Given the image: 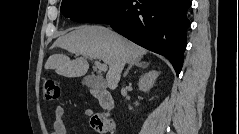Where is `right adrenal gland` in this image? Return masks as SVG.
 <instances>
[{"instance_id":"1","label":"right adrenal gland","mask_w":239,"mask_h":134,"mask_svg":"<svg viewBox=\"0 0 239 134\" xmlns=\"http://www.w3.org/2000/svg\"><path fill=\"white\" fill-rule=\"evenodd\" d=\"M139 66V67H146L147 66V64H145L144 62H140V61H137V62H135V63H130L129 64V66H128V68H127V70H126V72L124 73V75H123V77H125V76H127V74H128V72H129V70L132 68V66Z\"/></svg>"}]
</instances>
